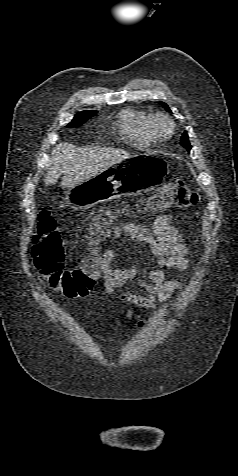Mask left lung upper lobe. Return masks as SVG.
Returning a JSON list of instances; mask_svg holds the SVG:
<instances>
[{
    "instance_id": "obj_1",
    "label": "left lung upper lobe",
    "mask_w": 238,
    "mask_h": 476,
    "mask_svg": "<svg viewBox=\"0 0 238 476\" xmlns=\"http://www.w3.org/2000/svg\"><path fill=\"white\" fill-rule=\"evenodd\" d=\"M160 103L166 108L167 111L171 112V110L169 109L166 103L164 102H160ZM181 145L185 147L188 151H190L191 145L189 143L188 135L186 132L181 137Z\"/></svg>"
}]
</instances>
